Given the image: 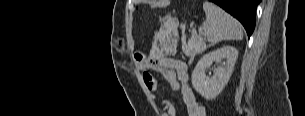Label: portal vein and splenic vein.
Here are the masks:
<instances>
[{"label": "portal vein and splenic vein", "mask_w": 305, "mask_h": 116, "mask_svg": "<svg viewBox=\"0 0 305 116\" xmlns=\"http://www.w3.org/2000/svg\"><path fill=\"white\" fill-rule=\"evenodd\" d=\"M203 25H204V24H203ZM192 34H196V30H193V31H192Z\"/></svg>", "instance_id": "1"}]
</instances>
